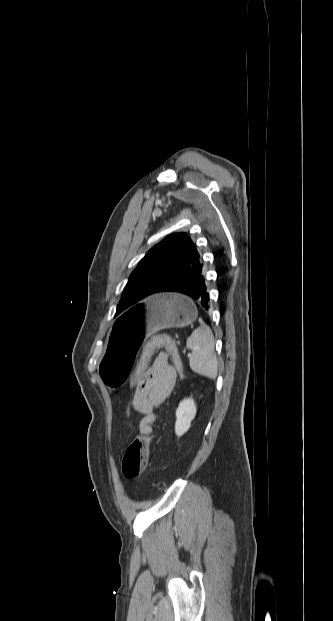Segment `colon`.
Wrapping results in <instances>:
<instances>
[{"instance_id": "1", "label": "colon", "mask_w": 333, "mask_h": 621, "mask_svg": "<svg viewBox=\"0 0 333 621\" xmlns=\"http://www.w3.org/2000/svg\"><path fill=\"white\" fill-rule=\"evenodd\" d=\"M165 348L170 354L174 367L182 376V361L174 342L166 336H155L144 346L141 356L131 376V388L133 394L143 378L147 364L156 349ZM151 437H138L126 449L122 460V472L126 479L138 478L146 469L149 457Z\"/></svg>"}]
</instances>
